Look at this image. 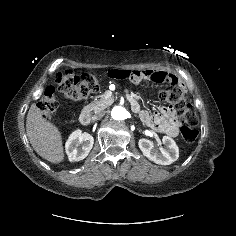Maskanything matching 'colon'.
Returning a JSON list of instances; mask_svg holds the SVG:
<instances>
[{
	"label": "colon",
	"instance_id": "colon-1",
	"mask_svg": "<svg viewBox=\"0 0 236 236\" xmlns=\"http://www.w3.org/2000/svg\"><path fill=\"white\" fill-rule=\"evenodd\" d=\"M54 82L64 97L71 101H79L87 98L99 90L97 77L90 73L77 74L71 70L59 72ZM56 89L50 85L44 89L43 95L38 103L41 114L47 118H52L58 109V101L55 95ZM159 99L177 108L178 117L186 124L181 128V135L187 143H193L198 136L195 126L198 123V115L191 103H186L184 90L179 85H172L168 89L162 90Z\"/></svg>",
	"mask_w": 236,
	"mask_h": 236
}]
</instances>
